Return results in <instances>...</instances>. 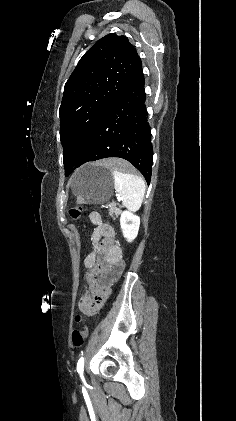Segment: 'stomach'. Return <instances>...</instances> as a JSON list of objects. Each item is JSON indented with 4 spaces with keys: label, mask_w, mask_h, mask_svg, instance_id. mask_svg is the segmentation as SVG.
<instances>
[{
    "label": "stomach",
    "mask_w": 236,
    "mask_h": 421,
    "mask_svg": "<svg viewBox=\"0 0 236 421\" xmlns=\"http://www.w3.org/2000/svg\"><path fill=\"white\" fill-rule=\"evenodd\" d=\"M113 170L102 164H84L75 172L72 190L78 202L83 204H104L113 194Z\"/></svg>",
    "instance_id": "stomach-1"
}]
</instances>
